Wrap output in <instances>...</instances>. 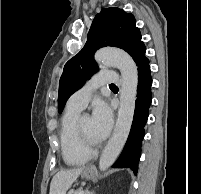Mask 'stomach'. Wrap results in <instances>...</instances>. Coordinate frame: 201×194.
Returning <instances> with one entry per match:
<instances>
[{
  "label": "stomach",
  "instance_id": "0dacf381",
  "mask_svg": "<svg viewBox=\"0 0 201 194\" xmlns=\"http://www.w3.org/2000/svg\"><path fill=\"white\" fill-rule=\"evenodd\" d=\"M95 174H96V168L93 165H88L84 167V170L82 171V177L86 179L94 178Z\"/></svg>",
  "mask_w": 201,
  "mask_h": 194
}]
</instances>
